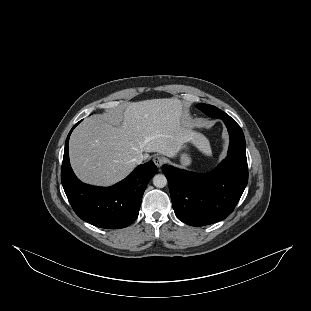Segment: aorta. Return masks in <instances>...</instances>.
<instances>
[{
  "label": "aorta",
  "mask_w": 311,
  "mask_h": 311,
  "mask_svg": "<svg viewBox=\"0 0 311 311\" xmlns=\"http://www.w3.org/2000/svg\"><path fill=\"white\" fill-rule=\"evenodd\" d=\"M153 185L157 188H163L167 185V178L163 174H156L153 177Z\"/></svg>",
  "instance_id": "1"
}]
</instances>
